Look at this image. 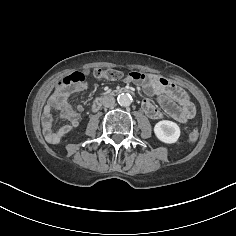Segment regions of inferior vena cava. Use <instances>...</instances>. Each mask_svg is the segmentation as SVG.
<instances>
[{"label":"inferior vena cava","mask_w":236,"mask_h":236,"mask_svg":"<svg viewBox=\"0 0 236 236\" xmlns=\"http://www.w3.org/2000/svg\"><path fill=\"white\" fill-rule=\"evenodd\" d=\"M102 104L104 107L111 108L115 104V98L113 96H105L102 99Z\"/></svg>","instance_id":"inferior-vena-cava-1"}]
</instances>
